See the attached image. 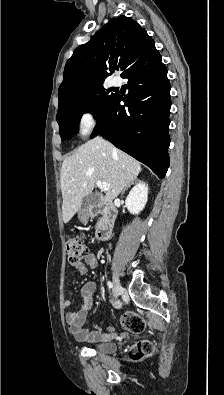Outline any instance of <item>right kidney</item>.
<instances>
[{
    "label": "right kidney",
    "instance_id": "1",
    "mask_svg": "<svg viewBox=\"0 0 224 395\" xmlns=\"http://www.w3.org/2000/svg\"><path fill=\"white\" fill-rule=\"evenodd\" d=\"M148 200V185L139 182L134 186L125 200V206L131 214L140 213Z\"/></svg>",
    "mask_w": 224,
    "mask_h": 395
}]
</instances>
